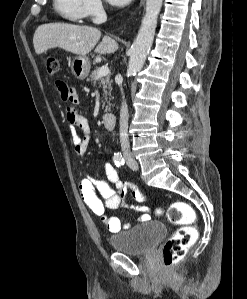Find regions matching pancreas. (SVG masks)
Instances as JSON below:
<instances>
[{
    "label": "pancreas",
    "mask_w": 247,
    "mask_h": 299,
    "mask_svg": "<svg viewBox=\"0 0 247 299\" xmlns=\"http://www.w3.org/2000/svg\"><path fill=\"white\" fill-rule=\"evenodd\" d=\"M98 71H99V68H96L94 71H92V73L90 74L88 80L91 81L93 84H95L96 81H99V83H98L99 87H102L103 94H104V97H105L104 101H102V108H104L106 102L108 104H110L107 101V98H108V96L109 97L111 96L112 86H111L110 77L108 75L105 76V77H100V78L97 77ZM109 110H110L109 106H106L105 112H107Z\"/></svg>",
    "instance_id": "1"
}]
</instances>
